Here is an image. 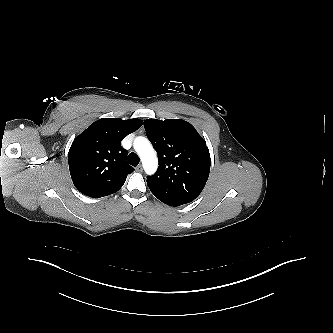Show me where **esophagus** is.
Here are the masks:
<instances>
[{"label": "esophagus", "instance_id": "34e87169", "mask_svg": "<svg viewBox=\"0 0 333 333\" xmlns=\"http://www.w3.org/2000/svg\"><path fill=\"white\" fill-rule=\"evenodd\" d=\"M135 170H136L137 172H142V171H143L142 165H138V166L135 168Z\"/></svg>", "mask_w": 333, "mask_h": 333}]
</instances>
